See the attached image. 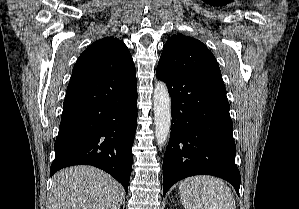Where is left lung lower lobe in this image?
I'll list each match as a JSON object with an SVG mask.
<instances>
[{"label":"left lung lower lobe","mask_w":299,"mask_h":209,"mask_svg":"<svg viewBox=\"0 0 299 209\" xmlns=\"http://www.w3.org/2000/svg\"><path fill=\"white\" fill-rule=\"evenodd\" d=\"M171 95V135L163 160V195L177 181L207 174L230 182L239 194L240 172L229 102L221 76L157 67Z\"/></svg>","instance_id":"1"}]
</instances>
